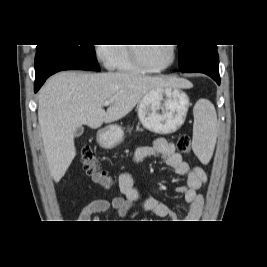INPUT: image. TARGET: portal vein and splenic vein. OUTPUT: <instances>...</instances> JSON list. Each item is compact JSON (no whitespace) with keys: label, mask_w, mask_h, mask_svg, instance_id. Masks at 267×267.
I'll list each match as a JSON object with an SVG mask.
<instances>
[{"label":"portal vein and splenic vein","mask_w":267,"mask_h":267,"mask_svg":"<svg viewBox=\"0 0 267 267\" xmlns=\"http://www.w3.org/2000/svg\"><path fill=\"white\" fill-rule=\"evenodd\" d=\"M110 104H111V101H105L103 105L104 106H109Z\"/></svg>","instance_id":"18ae733b"}]
</instances>
